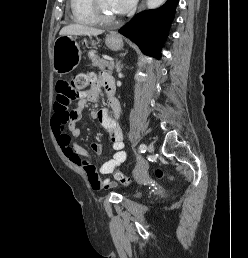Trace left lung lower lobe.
Returning a JSON list of instances; mask_svg holds the SVG:
<instances>
[{"mask_svg": "<svg viewBox=\"0 0 248 258\" xmlns=\"http://www.w3.org/2000/svg\"><path fill=\"white\" fill-rule=\"evenodd\" d=\"M178 1L167 0L157 10L135 15L119 32L135 42L144 53L159 58L160 47L167 37Z\"/></svg>", "mask_w": 248, "mask_h": 258, "instance_id": "left-lung-lower-lobe-1", "label": "left lung lower lobe"}]
</instances>
